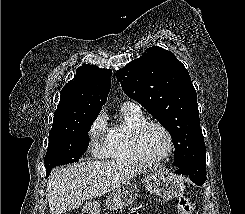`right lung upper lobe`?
Instances as JSON below:
<instances>
[{
    "label": "right lung upper lobe",
    "mask_w": 245,
    "mask_h": 214,
    "mask_svg": "<svg viewBox=\"0 0 245 214\" xmlns=\"http://www.w3.org/2000/svg\"><path fill=\"white\" fill-rule=\"evenodd\" d=\"M111 70L83 64L62 89L49 135L70 128L83 114L100 112L111 87Z\"/></svg>",
    "instance_id": "1"
}]
</instances>
